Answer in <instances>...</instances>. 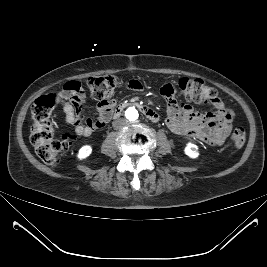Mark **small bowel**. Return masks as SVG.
<instances>
[{
	"instance_id": "c3829d8e",
	"label": "small bowel",
	"mask_w": 267,
	"mask_h": 267,
	"mask_svg": "<svg viewBox=\"0 0 267 267\" xmlns=\"http://www.w3.org/2000/svg\"><path fill=\"white\" fill-rule=\"evenodd\" d=\"M126 87L130 90H142V84L137 80H129ZM160 94L167 103V127L178 136L198 139L208 145H222L232 130L233 114L219 99L213 102L214 111L200 113L190 105L178 102L175 98L176 87L173 83H165ZM61 104L66 123L75 127V133L87 137L96 129L103 127L110 119L115 101L98 105L99 117L96 121L85 119L82 124V108L87 97L79 81L66 82L56 95Z\"/></svg>"
}]
</instances>
